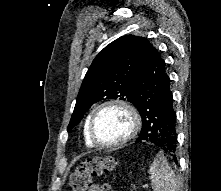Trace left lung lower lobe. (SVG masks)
<instances>
[{"mask_svg":"<svg viewBox=\"0 0 221 191\" xmlns=\"http://www.w3.org/2000/svg\"><path fill=\"white\" fill-rule=\"evenodd\" d=\"M165 62L157 49L147 44L135 85V107L142 118L136 142L147 141L176 161V112Z\"/></svg>","mask_w":221,"mask_h":191,"instance_id":"1","label":"left lung lower lobe"}]
</instances>
